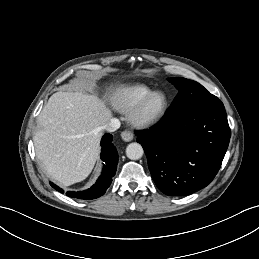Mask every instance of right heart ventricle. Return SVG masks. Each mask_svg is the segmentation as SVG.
Segmentation results:
<instances>
[{
	"mask_svg": "<svg viewBox=\"0 0 259 259\" xmlns=\"http://www.w3.org/2000/svg\"><path fill=\"white\" fill-rule=\"evenodd\" d=\"M151 88L144 84H131L118 87L109 96V104L120 112H127L132 109Z\"/></svg>",
	"mask_w": 259,
	"mask_h": 259,
	"instance_id": "1",
	"label": "right heart ventricle"
}]
</instances>
